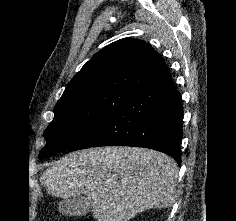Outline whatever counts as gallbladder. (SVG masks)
<instances>
[{
  "label": "gallbladder",
  "instance_id": "gallbladder-1",
  "mask_svg": "<svg viewBox=\"0 0 236 221\" xmlns=\"http://www.w3.org/2000/svg\"><path fill=\"white\" fill-rule=\"evenodd\" d=\"M92 201L84 196L67 198L59 202V212L64 216H82L90 212Z\"/></svg>",
  "mask_w": 236,
  "mask_h": 221
}]
</instances>
